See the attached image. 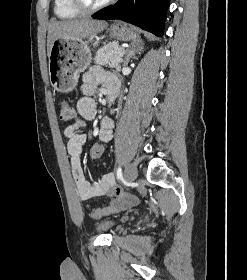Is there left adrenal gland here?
<instances>
[{
	"label": "left adrenal gland",
	"mask_w": 247,
	"mask_h": 280,
	"mask_svg": "<svg viewBox=\"0 0 247 280\" xmlns=\"http://www.w3.org/2000/svg\"><path fill=\"white\" fill-rule=\"evenodd\" d=\"M143 49V44L141 40L132 42L130 47L126 50V56L123 66H127L131 57H133L136 53H139Z\"/></svg>",
	"instance_id": "1"
}]
</instances>
